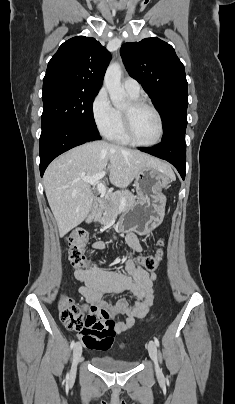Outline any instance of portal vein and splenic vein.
Returning <instances> with one entry per match:
<instances>
[{
  "instance_id": "obj_1",
  "label": "portal vein and splenic vein",
  "mask_w": 235,
  "mask_h": 404,
  "mask_svg": "<svg viewBox=\"0 0 235 404\" xmlns=\"http://www.w3.org/2000/svg\"><path fill=\"white\" fill-rule=\"evenodd\" d=\"M105 174L106 172L102 171L92 177H84L83 180L91 185H97V190L99 193L104 195L106 193V187L100 182V180L105 176Z\"/></svg>"
}]
</instances>
